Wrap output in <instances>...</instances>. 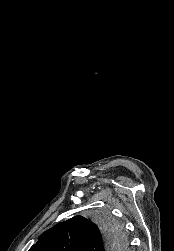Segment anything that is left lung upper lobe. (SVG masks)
Segmentation results:
<instances>
[{
	"instance_id": "obj_1",
	"label": "left lung upper lobe",
	"mask_w": 174,
	"mask_h": 251,
	"mask_svg": "<svg viewBox=\"0 0 174 251\" xmlns=\"http://www.w3.org/2000/svg\"><path fill=\"white\" fill-rule=\"evenodd\" d=\"M124 229L106 216H75L45 231L29 251H123Z\"/></svg>"
}]
</instances>
